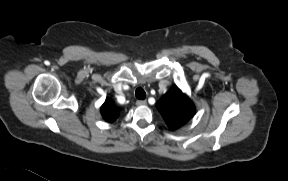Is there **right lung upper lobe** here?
Masks as SVG:
<instances>
[{
    "label": "right lung upper lobe",
    "instance_id": "1",
    "mask_svg": "<svg viewBox=\"0 0 288 181\" xmlns=\"http://www.w3.org/2000/svg\"><path fill=\"white\" fill-rule=\"evenodd\" d=\"M119 108L114 105L112 100L107 99L101 107V114L103 118L111 123L118 117Z\"/></svg>",
    "mask_w": 288,
    "mask_h": 181
}]
</instances>
